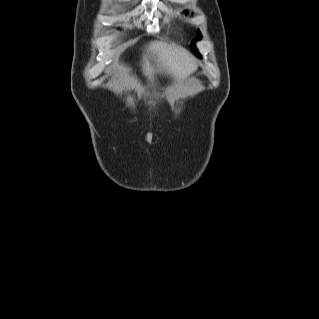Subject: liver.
<instances>
[{
    "instance_id": "6515ba94",
    "label": "liver",
    "mask_w": 319,
    "mask_h": 319,
    "mask_svg": "<svg viewBox=\"0 0 319 319\" xmlns=\"http://www.w3.org/2000/svg\"><path fill=\"white\" fill-rule=\"evenodd\" d=\"M154 62L152 63L150 62ZM143 70L149 78L156 72L184 79L197 69L194 57L185 49L163 41H151L143 56Z\"/></svg>"
}]
</instances>
